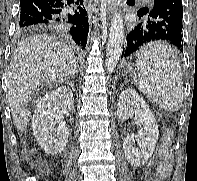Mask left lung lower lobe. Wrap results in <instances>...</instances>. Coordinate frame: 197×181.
I'll use <instances>...</instances> for the list:
<instances>
[{
  "label": "left lung lower lobe",
  "instance_id": "obj_1",
  "mask_svg": "<svg viewBox=\"0 0 197 181\" xmlns=\"http://www.w3.org/2000/svg\"><path fill=\"white\" fill-rule=\"evenodd\" d=\"M182 16L181 0H154L149 12L139 16V21L127 35L122 57L158 40L169 41L183 51Z\"/></svg>",
  "mask_w": 197,
  "mask_h": 181
}]
</instances>
